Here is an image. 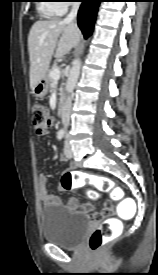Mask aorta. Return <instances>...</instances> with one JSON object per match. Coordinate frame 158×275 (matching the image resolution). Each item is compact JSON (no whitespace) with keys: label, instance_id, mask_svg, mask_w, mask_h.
Returning a JSON list of instances; mask_svg holds the SVG:
<instances>
[{"label":"aorta","instance_id":"aorta-1","mask_svg":"<svg viewBox=\"0 0 158 275\" xmlns=\"http://www.w3.org/2000/svg\"><path fill=\"white\" fill-rule=\"evenodd\" d=\"M80 68H81V61L79 58L74 59L72 67L70 69L68 79H67V84H66V92L67 93H72L76 83L79 78L80 74Z\"/></svg>","mask_w":158,"mask_h":275}]
</instances>
